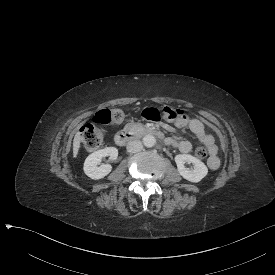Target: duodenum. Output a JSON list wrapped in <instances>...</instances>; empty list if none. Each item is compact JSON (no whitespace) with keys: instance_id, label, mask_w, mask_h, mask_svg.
<instances>
[{"instance_id":"obj_1","label":"duodenum","mask_w":275,"mask_h":275,"mask_svg":"<svg viewBox=\"0 0 275 275\" xmlns=\"http://www.w3.org/2000/svg\"><path fill=\"white\" fill-rule=\"evenodd\" d=\"M146 135L163 138L162 132L151 127H139L134 129H125L116 133L114 140L119 146H125L130 142Z\"/></svg>"}]
</instances>
